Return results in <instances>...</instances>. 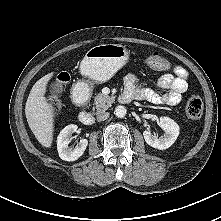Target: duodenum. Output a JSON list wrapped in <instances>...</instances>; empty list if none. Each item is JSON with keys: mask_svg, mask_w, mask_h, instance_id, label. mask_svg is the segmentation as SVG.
<instances>
[{"mask_svg": "<svg viewBox=\"0 0 221 221\" xmlns=\"http://www.w3.org/2000/svg\"><path fill=\"white\" fill-rule=\"evenodd\" d=\"M73 100H74L76 103H79V102L82 100V98H81V96H80L79 94L74 93V95H73ZM119 100H120L121 102H123V103H126V102L129 101V98H128V96H127L126 94L123 93L122 95H120ZM79 120H80V122L83 123V124H86V125H87V124H90V123L92 122L91 113H90L88 110H86V109H82V110L79 112Z\"/></svg>", "mask_w": 221, "mask_h": 221, "instance_id": "duodenum-1", "label": "duodenum"}]
</instances>
